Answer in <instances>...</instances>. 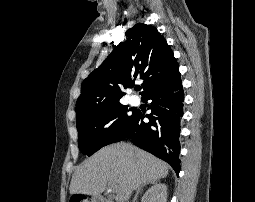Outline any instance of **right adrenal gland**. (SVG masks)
Returning a JSON list of instances; mask_svg holds the SVG:
<instances>
[{
  "label": "right adrenal gland",
  "instance_id": "2a0ac1e0",
  "mask_svg": "<svg viewBox=\"0 0 255 202\" xmlns=\"http://www.w3.org/2000/svg\"><path fill=\"white\" fill-rule=\"evenodd\" d=\"M156 183H157V181L148 182V183L144 184L141 188H139L138 191H137V193H136V195H135V197H134V201H133V202L136 201V199L138 198V195H139V193L142 191V188H143V187H145V186H147V185H149V184H156Z\"/></svg>",
  "mask_w": 255,
  "mask_h": 202
}]
</instances>
